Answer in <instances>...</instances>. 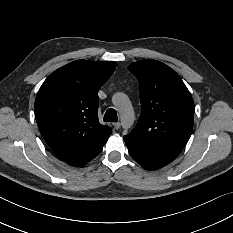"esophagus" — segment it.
<instances>
[{
  "label": "esophagus",
  "mask_w": 233,
  "mask_h": 233,
  "mask_svg": "<svg viewBox=\"0 0 233 233\" xmlns=\"http://www.w3.org/2000/svg\"><path fill=\"white\" fill-rule=\"evenodd\" d=\"M113 126L116 130H118L120 128L121 124H120V122H115V123H113Z\"/></svg>",
  "instance_id": "obj_1"
}]
</instances>
